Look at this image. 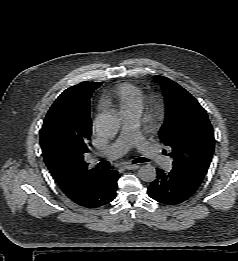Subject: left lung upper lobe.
Returning a JSON list of instances; mask_svg holds the SVG:
<instances>
[{"label": "left lung upper lobe", "mask_w": 238, "mask_h": 261, "mask_svg": "<svg viewBox=\"0 0 238 261\" xmlns=\"http://www.w3.org/2000/svg\"><path fill=\"white\" fill-rule=\"evenodd\" d=\"M166 104V119L159 131L160 140L171 149L173 169L202 182L210 165L215 139L205 109L179 84L156 76Z\"/></svg>", "instance_id": "5c2ea615"}]
</instances>
